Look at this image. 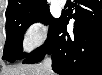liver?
<instances>
[{
  "instance_id": "1",
  "label": "liver",
  "mask_w": 102,
  "mask_h": 75,
  "mask_svg": "<svg viewBox=\"0 0 102 75\" xmlns=\"http://www.w3.org/2000/svg\"><path fill=\"white\" fill-rule=\"evenodd\" d=\"M1 75H54L48 71L43 63L33 65H19L3 69Z\"/></svg>"
}]
</instances>
